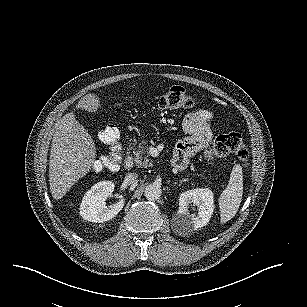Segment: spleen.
<instances>
[{
  "label": "spleen",
  "mask_w": 307,
  "mask_h": 307,
  "mask_svg": "<svg viewBox=\"0 0 307 307\" xmlns=\"http://www.w3.org/2000/svg\"><path fill=\"white\" fill-rule=\"evenodd\" d=\"M243 196V172L240 164L232 168L227 187L221 193L218 202L220 223L225 224L237 213Z\"/></svg>",
  "instance_id": "1"
}]
</instances>
